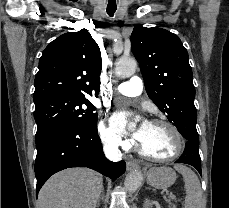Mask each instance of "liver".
<instances>
[{
  "label": "liver",
  "instance_id": "obj_1",
  "mask_svg": "<svg viewBox=\"0 0 229 208\" xmlns=\"http://www.w3.org/2000/svg\"><path fill=\"white\" fill-rule=\"evenodd\" d=\"M101 174L68 168L54 174L38 194L37 208H96L103 190Z\"/></svg>",
  "mask_w": 229,
  "mask_h": 208
}]
</instances>
